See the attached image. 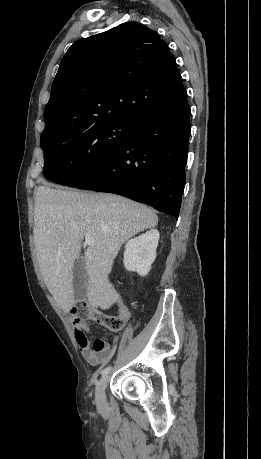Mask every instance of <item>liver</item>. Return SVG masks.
I'll list each match as a JSON object with an SVG mask.
<instances>
[{"label": "liver", "instance_id": "liver-1", "mask_svg": "<svg viewBox=\"0 0 261 459\" xmlns=\"http://www.w3.org/2000/svg\"><path fill=\"white\" fill-rule=\"evenodd\" d=\"M150 208L110 193H87L39 186L34 208V242L46 286L64 311L74 305L73 267L83 238L90 310L109 308L117 299L108 275L121 246L132 236L157 226Z\"/></svg>", "mask_w": 261, "mask_h": 459}]
</instances>
